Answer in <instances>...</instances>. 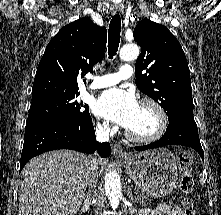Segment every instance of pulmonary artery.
<instances>
[{
	"label": "pulmonary artery",
	"mask_w": 221,
	"mask_h": 215,
	"mask_svg": "<svg viewBox=\"0 0 221 215\" xmlns=\"http://www.w3.org/2000/svg\"><path fill=\"white\" fill-rule=\"evenodd\" d=\"M133 74V68L130 65H123L116 73L96 76L90 85V89H101L117 84L121 80L129 79Z\"/></svg>",
	"instance_id": "1"
}]
</instances>
